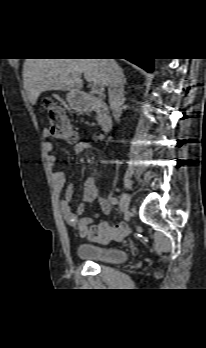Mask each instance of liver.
Instances as JSON below:
<instances>
[{
  "label": "liver",
  "mask_w": 206,
  "mask_h": 348,
  "mask_svg": "<svg viewBox=\"0 0 206 348\" xmlns=\"http://www.w3.org/2000/svg\"><path fill=\"white\" fill-rule=\"evenodd\" d=\"M82 74L89 82L107 85L104 59H26L23 65L24 88L32 105L47 90L80 92Z\"/></svg>",
  "instance_id": "6515ba94"
}]
</instances>
